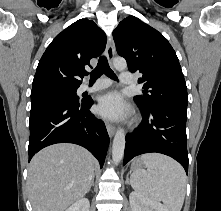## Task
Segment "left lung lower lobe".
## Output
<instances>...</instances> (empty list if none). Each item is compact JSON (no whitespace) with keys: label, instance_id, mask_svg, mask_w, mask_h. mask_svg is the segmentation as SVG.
<instances>
[{"label":"left lung lower lobe","instance_id":"0a47b994","mask_svg":"<svg viewBox=\"0 0 221 211\" xmlns=\"http://www.w3.org/2000/svg\"><path fill=\"white\" fill-rule=\"evenodd\" d=\"M139 108L143 120L134 133L126 136L123 165L140 154L157 152L177 160L188 173L187 106L164 104L150 109Z\"/></svg>","mask_w":221,"mask_h":211}]
</instances>
